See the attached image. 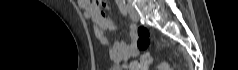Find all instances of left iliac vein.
Wrapping results in <instances>:
<instances>
[{
    "label": "left iliac vein",
    "mask_w": 238,
    "mask_h": 70,
    "mask_svg": "<svg viewBox=\"0 0 238 70\" xmlns=\"http://www.w3.org/2000/svg\"><path fill=\"white\" fill-rule=\"evenodd\" d=\"M127 8H128V12L130 14L131 19L133 21H138L139 20V14L136 11V9L130 4L127 5Z\"/></svg>",
    "instance_id": "obj_1"
}]
</instances>
